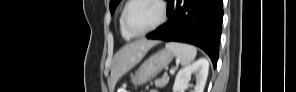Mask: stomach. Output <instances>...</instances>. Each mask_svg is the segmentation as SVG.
Wrapping results in <instances>:
<instances>
[{
    "mask_svg": "<svg viewBox=\"0 0 296 92\" xmlns=\"http://www.w3.org/2000/svg\"><path fill=\"white\" fill-rule=\"evenodd\" d=\"M173 59L172 51L162 49L151 55L137 70L131 81L134 85H142L156 77Z\"/></svg>",
    "mask_w": 296,
    "mask_h": 92,
    "instance_id": "stomach-1",
    "label": "stomach"
}]
</instances>
